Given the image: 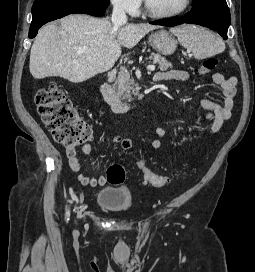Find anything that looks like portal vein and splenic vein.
<instances>
[{"label":"portal vein and splenic vein","instance_id":"obj_1","mask_svg":"<svg viewBox=\"0 0 255 272\" xmlns=\"http://www.w3.org/2000/svg\"><path fill=\"white\" fill-rule=\"evenodd\" d=\"M147 69H148L149 71H154V70H155V66H154V65H148V66H147Z\"/></svg>","mask_w":255,"mask_h":272}]
</instances>
